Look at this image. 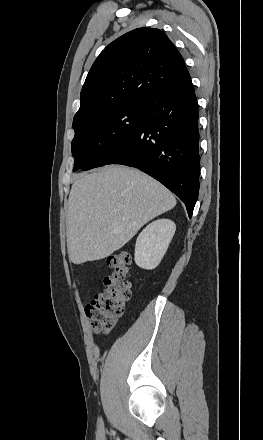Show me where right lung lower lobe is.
Masks as SVG:
<instances>
[{"instance_id":"right-lung-lower-lobe-1","label":"right lung lower lobe","mask_w":263,"mask_h":440,"mask_svg":"<svg viewBox=\"0 0 263 440\" xmlns=\"http://www.w3.org/2000/svg\"><path fill=\"white\" fill-rule=\"evenodd\" d=\"M198 104L190 76L146 101V116L107 164L136 167L160 181L192 216L199 192Z\"/></svg>"}]
</instances>
